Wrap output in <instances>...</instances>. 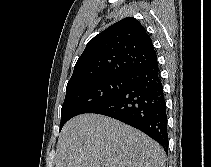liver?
Here are the masks:
<instances>
[{
	"mask_svg": "<svg viewBox=\"0 0 211 167\" xmlns=\"http://www.w3.org/2000/svg\"><path fill=\"white\" fill-rule=\"evenodd\" d=\"M164 149L113 118L82 114L69 120L57 143L56 167H165Z\"/></svg>",
	"mask_w": 211,
	"mask_h": 167,
	"instance_id": "1",
	"label": "liver"
}]
</instances>
